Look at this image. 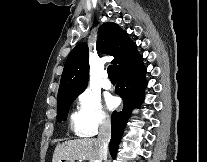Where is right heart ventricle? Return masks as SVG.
<instances>
[{
    "instance_id": "e07e8e85",
    "label": "right heart ventricle",
    "mask_w": 207,
    "mask_h": 162,
    "mask_svg": "<svg viewBox=\"0 0 207 162\" xmlns=\"http://www.w3.org/2000/svg\"><path fill=\"white\" fill-rule=\"evenodd\" d=\"M71 123H72V127L75 131H77V115L76 114H72L71 116Z\"/></svg>"
}]
</instances>
